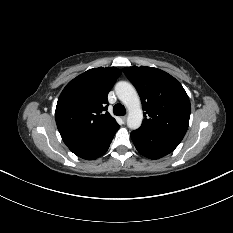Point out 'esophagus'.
Listing matches in <instances>:
<instances>
[{
  "label": "esophagus",
  "mask_w": 233,
  "mask_h": 233,
  "mask_svg": "<svg viewBox=\"0 0 233 233\" xmlns=\"http://www.w3.org/2000/svg\"><path fill=\"white\" fill-rule=\"evenodd\" d=\"M122 119H123V121H126L127 120V116L126 115L123 116Z\"/></svg>",
  "instance_id": "1"
}]
</instances>
